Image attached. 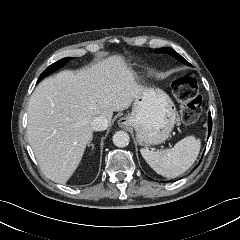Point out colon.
<instances>
[{
	"label": "colon",
	"mask_w": 240,
	"mask_h": 240,
	"mask_svg": "<svg viewBox=\"0 0 240 240\" xmlns=\"http://www.w3.org/2000/svg\"><path fill=\"white\" fill-rule=\"evenodd\" d=\"M173 92L181 104V118L186 124L195 123L201 114L198 81L192 76L177 77L172 82Z\"/></svg>",
	"instance_id": "1"
}]
</instances>
